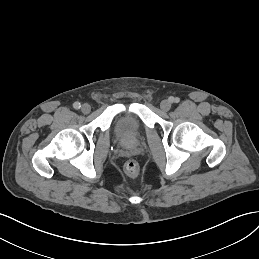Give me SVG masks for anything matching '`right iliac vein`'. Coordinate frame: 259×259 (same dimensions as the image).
I'll return each mask as SVG.
<instances>
[{"label": "right iliac vein", "instance_id": "obj_1", "mask_svg": "<svg viewBox=\"0 0 259 259\" xmlns=\"http://www.w3.org/2000/svg\"><path fill=\"white\" fill-rule=\"evenodd\" d=\"M81 111L84 114H88L91 111V106L89 104L85 103L82 105Z\"/></svg>", "mask_w": 259, "mask_h": 259}]
</instances>
